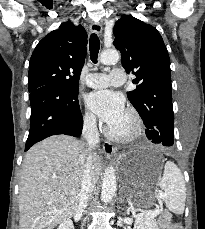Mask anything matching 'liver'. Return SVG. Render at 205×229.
I'll use <instances>...</instances> for the list:
<instances>
[{"label":"liver","mask_w":205,"mask_h":229,"mask_svg":"<svg viewBox=\"0 0 205 229\" xmlns=\"http://www.w3.org/2000/svg\"><path fill=\"white\" fill-rule=\"evenodd\" d=\"M89 150L81 140L56 135L32 146L25 155L19 184L20 229H53L77 212ZM95 179L102 162L92 152Z\"/></svg>","instance_id":"6515ba94"}]
</instances>
